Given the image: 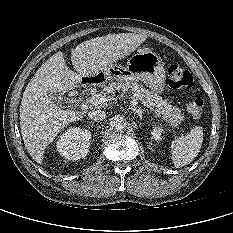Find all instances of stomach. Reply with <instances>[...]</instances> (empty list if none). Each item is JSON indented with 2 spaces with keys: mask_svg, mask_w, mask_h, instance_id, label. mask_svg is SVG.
Listing matches in <instances>:
<instances>
[{
  "mask_svg": "<svg viewBox=\"0 0 233 233\" xmlns=\"http://www.w3.org/2000/svg\"><path fill=\"white\" fill-rule=\"evenodd\" d=\"M104 80L119 82L143 80L155 93H161L165 87V70L163 62L150 50L139 51L130 57L126 66L111 64L101 71Z\"/></svg>",
  "mask_w": 233,
  "mask_h": 233,
  "instance_id": "0dacf381",
  "label": "stomach"
}]
</instances>
